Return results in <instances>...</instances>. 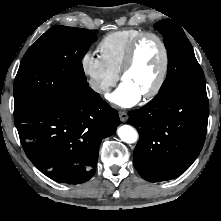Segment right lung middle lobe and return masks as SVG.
Masks as SVG:
<instances>
[{"label": "right lung middle lobe", "instance_id": "dd1d6c3e", "mask_svg": "<svg viewBox=\"0 0 221 221\" xmlns=\"http://www.w3.org/2000/svg\"><path fill=\"white\" fill-rule=\"evenodd\" d=\"M96 40L95 33L75 27L45 32L22 58L14 81V117L87 89L81 60Z\"/></svg>", "mask_w": 221, "mask_h": 221}]
</instances>
